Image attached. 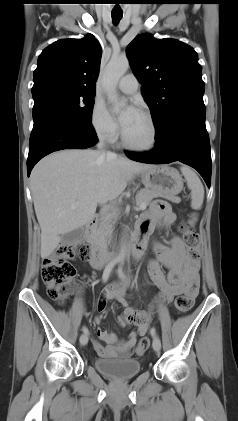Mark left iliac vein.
I'll use <instances>...</instances> for the list:
<instances>
[{"label": "left iliac vein", "mask_w": 238, "mask_h": 421, "mask_svg": "<svg viewBox=\"0 0 238 421\" xmlns=\"http://www.w3.org/2000/svg\"><path fill=\"white\" fill-rule=\"evenodd\" d=\"M152 346H153V349H154L156 352H159V351H160V349H161V342H160V339H159V338H157V337H154V338H153V343H152Z\"/></svg>", "instance_id": "4c4485c4"}]
</instances>
